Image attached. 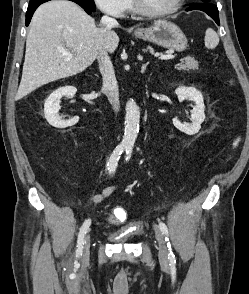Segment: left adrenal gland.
Segmentation results:
<instances>
[{"mask_svg":"<svg viewBox=\"0 0 249 294\" xmlns=\"http://www.w3.org/2000/svg\"><path fill=\"white\" fill-rule=\"evenodd\" d=\"M149 64V62H147L146 64L142 65L141 67V73H144L146 70L147 65Z\"/></svg>","mask_w":249,"mask_h":294,"instance_id":"1","label":"left adrenal gland"}]
</instances>
